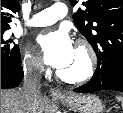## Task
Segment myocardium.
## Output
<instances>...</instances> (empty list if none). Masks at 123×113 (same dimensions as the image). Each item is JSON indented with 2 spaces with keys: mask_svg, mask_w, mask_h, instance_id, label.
Masks as SVG:
<instances>
[{
  "mask_svg": "<svg viewBox=\"0 0 123 113\" xmlns=\"http://www.w3.org/2000/svg\"><path fill=\"white\" fill-rule=\"evenodd\" d=\"M76 50L80 51L85 57V68L77 75H66L60 70L56 72L57 77L66 83H83L89 81L95 74L97 66V55L91 44L84 40L79 39L77 41Z\"/></svg>",
  "mask_w": 123,
  "mask_h": 113,
  "instance_id": "f54148a6",
  "label": "myocardium"
}]
</instances>
